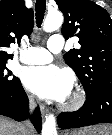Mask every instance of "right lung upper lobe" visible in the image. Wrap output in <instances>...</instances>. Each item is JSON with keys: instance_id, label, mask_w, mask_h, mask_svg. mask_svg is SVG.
<instances>
[{"instance_id": "obj_1", "label": "right lung upper lobe", "mask_w": 112, "mask_h": 135, "mask_svg": "<svg viewBox=\"0 0 112 135\" xmlns=\"http://www.w3.org/2000/svg\"><path fill=\"white\" fill-rule=\"evenodd\" d=\"M33 29V10L26 8L24 0L0 1V61H7L13 55L6 48L11 43H20L24 34Z\"/></svg>"}]
</instances>
